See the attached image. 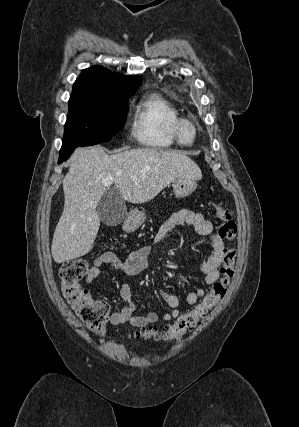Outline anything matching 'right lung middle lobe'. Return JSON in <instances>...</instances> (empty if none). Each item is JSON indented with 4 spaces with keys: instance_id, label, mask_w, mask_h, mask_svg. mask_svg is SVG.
<instances>
[{
    "instance_id": "right-lung-middle-lobe-1",
    "label": "right lung middle lobe",
    "mask_w": 299,
    "mask_h": 427,
    "mask_svg": "<svg viewBox=\"0 0 299 427\" xmlns=\"http://www.w3.org/2000/svg\"><path fill=\"white\" fill-rule=\"evenodd\" d=\"M128 98L69 101L60 153L109 141L124 127Z\"/></svg>"
}]
</instances>
